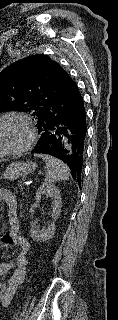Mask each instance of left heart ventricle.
<instances>
[{
    "instance_id": "obj_1",
    "label": "left heart ventricle",
    "mask_w": 118,
    "mask_h": 320,
    "mask_svg": "<svg viewBox=\"0 0 118 320\" xmlns=\"http://www.w3.org/2000/svg\"><path fill=\"white\" fill-rule=\"evenodd\" d=\"M16 134L17 127L14 125L0 128V146L8 147L16 139Z\"/></svg>"
}]
</instances>
